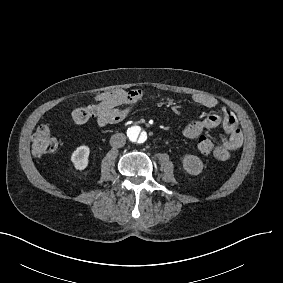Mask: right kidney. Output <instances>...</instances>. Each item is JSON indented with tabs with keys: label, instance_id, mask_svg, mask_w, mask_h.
Instances as JSON below:
<instances>
[{
	"label": "right kidney",
	"instance_id": "right-kidney-1",
	"mask_svg": "<svg viewBox=\"0 0 283 283\" xmlns=\"http://www.w3.org/2000/svg\"><path fill=\"white\" fill-rule=\"evenodd\" d=\"M90 149L88 146L78 147L71 156V161L74 164L75 169L84 170L88 166V157Z\"/></svg>",
	"mask_w": 283,
	"mask_h": 283
}]
</instances>
